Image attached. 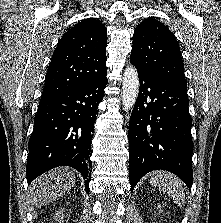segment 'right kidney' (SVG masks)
I'll return each mask as SVG.
<instances>
[{
	"label": "right kidney",
	"mask_w": 221,
	"mask_h": 223,
	"mask_svg": "<svg viewBox=\"0 0 221 223\" xmlns=\"http://www.w3.org/2000/svg\"><path fill=\"white\" fill-rule=\"evenodd\" d=\"M63 210L64 209H61L60 211L59 210L56 211L55 216H54V218H55L56 221L57 220L59 221L60 217H61V219H63V217H64ZM60 223H63V222H60Z\"/></svg>",
	"instance_id": "obj_1"
}]
</instances>
